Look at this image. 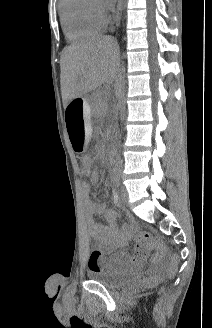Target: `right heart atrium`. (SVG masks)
<instances>
[{"mask_svg":"<svg viewBox=\"0 0 212 328\" xmlns=\"http://www.w3.org/2000/svg\"><path fill=\"white\" fill-rule=\"evenodd\" d=\"M96 8H97L98 12L101 13L102 15L106 12V6L104 4H102L101 2L96 3Z\"/></svg>","mask_w":212,"mask_h":328,"instance_id":"d8ad5b80","label":"right heart atrium"}]
</instances>
